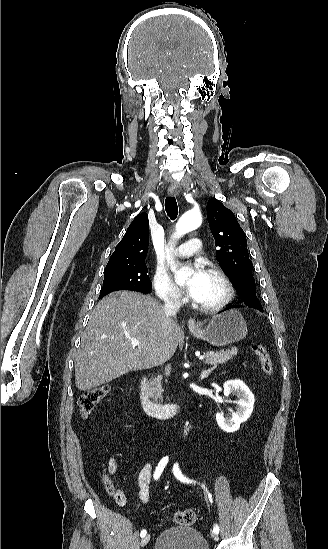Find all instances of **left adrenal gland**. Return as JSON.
Instances as JSON below:
<instances>
[{
  "label": "left adrenal gland",
  "mask_w": 328,
  "mask_h": 549,
  "mask_svg": "<svg viewBox=\"0 0 328 549\" xmlns=\"http://www.w3.org/2000/svg\"><path fill=\"white\" fill-rule=\"evenodd\" d=\"M212 369H208V371H203L204 377H208L209 373H211Z\"/></svg>",
  "instance_id": "left-adrenal-gland-1"
}]
</instances>
